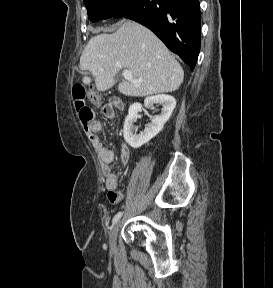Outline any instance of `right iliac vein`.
Here are the masks:
<instances>
[{
    "label": "right iliac vein",
    "instance_id": "1",
    "mask_svg": "<svg viewBox=\"0 0 273 288\" xmlns=\"http://www.w3.org/2000/svg\"><path fill=\"white\" fill-rule=\"evenodd\" d=\"M121 225V221H118L110 231L109 234V244L113 248L116 245V238Z\"/></svg>",
    "mask_w": 273,
    "mask_h": 288
}]
</instances>
